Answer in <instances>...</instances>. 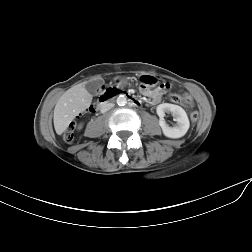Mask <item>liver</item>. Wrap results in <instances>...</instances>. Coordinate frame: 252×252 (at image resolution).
Listing matches in <instances>:
<instances>
[{"label": "liver", "instance_id": "1", "mask_svg": "<svg viewBox=\"0 0 252 252\" xmlns=\"http://www.w3.org/2000/svg\"><path fill=\"white\" fill-rule=\"evenodd\" d=\"M92 102L91 94L86 90L85 84H78L68 89L57 101L54 109V128L61 135L74 120V118Z\"/></svg>", "mask_w": 252, "mask_h": 252}]
</instances>
